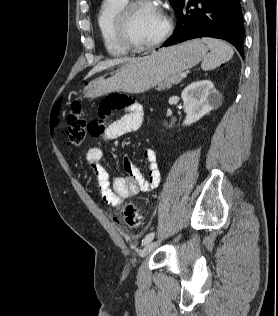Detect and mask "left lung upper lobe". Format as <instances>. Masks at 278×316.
Returning <instances> with one entry per match:
<instances>
[{
  "mask_svg": "<svg viewBox=\"0 0 278 316\" xmlns=\"http://www.w3.org/2000/svg\"><path fill=\"white\" fill-rule=\"evenodd\" d=\"M172 7L174 8L175 13L177 14L179 6L181 5L183 0H169Z\"/></svg>",
  "mask_w": 278,
  "mask_h": 316,
  "instance_id": "1",
  "label": "left lung upper lobe"
}]
</instances>
